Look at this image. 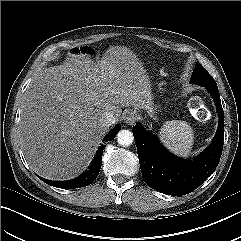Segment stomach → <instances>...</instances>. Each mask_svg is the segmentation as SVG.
Instances as JSON below:
<instances>
[{
    "label": "stomach",
    "mask_w": 241,
    "mask_h": 241,
    "mask_svg": "<svg viewBox=\"0 0 241 241\" xmlns=\"http://www.w3.org/2000/svg\"><path fill=\"white\" fill-rule=\"evenodd\" d=\"M145 110L147 111V113L151 116L154 117L155 113H156V107L152 104L150 106H147L145 108Z\"/></svg>",
    "instance_id": "obj_1"
}]
</instances>
